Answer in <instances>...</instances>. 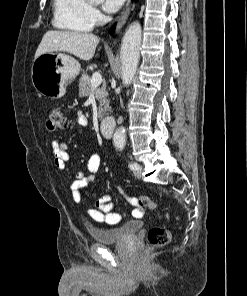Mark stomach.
Wrapping results in <instances>:
<instances>
[{
    "mask_svg": "<svg viewBox=\"0 0 247 296\" xmlns=\"http://www.w3.org/2000/svg\"><path fill=\"white\" fill-rule=\"evenodd\" d=\"M79 62L66 54L45 53L35 58L31 68L34 88L51 99L61 98L66 86L79 73Z\"/></svg>",
    "mask_w": 247,
    "mask_h": 296,
    "instance_id": "stomach-1",
    "label": "stomach"
}]
</instances>
